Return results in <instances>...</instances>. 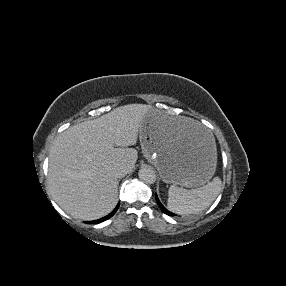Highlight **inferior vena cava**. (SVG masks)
<instances>
[{"label":"inferior vena cava","instance_id":"obj_1","mask_svg":"<svg viewBox=\"0 0 286 286\" xmlns=\"http://www.w3.org/2000/svg\"><path fill=\"white\" fill-rule=\"evenodd\" d=\"M112 170L117 178L124 177L127 174V168L122 164L115 165Z\"/></svg>","mask_w":286,"mask_h":286}]
</instances>
